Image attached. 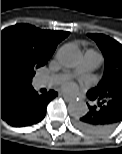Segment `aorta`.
<instances>
[{
  "instance_id": "762f6f07",
  "label": "aorta",
  "mask_w": 122,
  "mask_h": 154,
  "mask_svg": "<svg viewBox=\"0 0 122 154\" xmlns=\"http://www.w3.org/2000/svg\"><path fill=\"white\" fill-rule=\"evenodd\" d=\"M81 58L80 50L72 45H66L57 53L58 61L65 67L76 66ZM68 112L71 116H83L88 112L87 104L81 100H73L68 104Z\"/></svg>"
}]
</instances>
